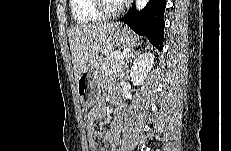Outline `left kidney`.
I'll return each mask as SVG.
<instances>
[{"instance_id": "5707ae66", "label": "left kidney", "mask_w": 231, "mask_h": 151, "mask_svg": "<svg viewBox=\"0 0 231 151\" xmlns=\"http://www.w3.org/2000/svg\"><path fill=\"white\" fill-rule=\"evenodd\" d=\"M155 56L150 52L140 54L133 63L130 71L131 81L135 85L143 84L144 79L147 77L154 64Z\"/></svg>"}]
</instances>
